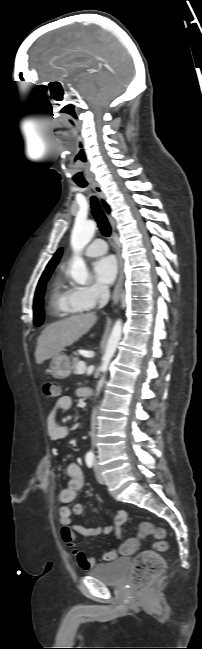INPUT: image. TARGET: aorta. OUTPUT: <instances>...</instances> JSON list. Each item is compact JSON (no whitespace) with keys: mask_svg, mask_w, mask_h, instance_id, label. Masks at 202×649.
Here are the masks:
<instances>
[{"mask_svg":"<svg viewBox=\"0 0 202 649\" xmlns=\"http://www.w3.org/2000/svg\"><path fill=\"white\" fill-rule=\"evenodd\" d=\"M96 229V224L94 221L85 220L77 221L74 225L72 235H71V246L74 251V257L70 269V275L76 283L85 284L89 279V273L86 267L84 260L81 258L79 253L82 249L90 243L92 240ZM122 321L119 319L115 322L111 334L108 338L105 353L102 357L101 370L106 373L109 367V364L116 352V349L119 345L122 336ZM105 381V376L99 380L97 386V394H99Z\"/></svg>","mask_w":202,"mask_h":649,"instance_id":"aorta-1","label":"aorta"}]
</instances>
